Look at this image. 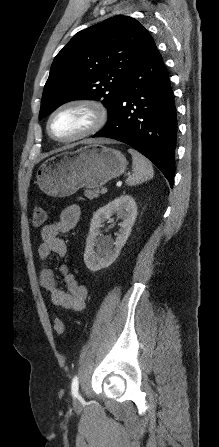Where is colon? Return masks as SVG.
Returning <instances> with one entry per match:
<instances>
[{
    "mask_svg": "<svg viewBox=\"0 0 219 447\" xmlns=\"http://www.w3.org/2000/svg\"><path fill=\"white\" fill-rule=\"evenodd\" d=\"M47 221V214L42 207H36L33 213V224L36 227L43 226ZM53 329L57 334H63L65 331V325L62 319L54 317Z\"/></svg>",
    "mask_w": 219,
    "mask_h": 447,
    "instance_id": "obj_1",
    "label": "colon"
}]
</instances>
